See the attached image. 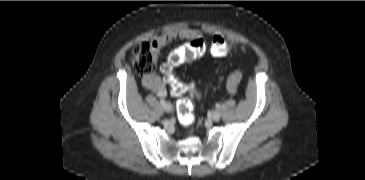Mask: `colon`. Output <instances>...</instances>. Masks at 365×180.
Masks as SVG:
<instances>
[{
	"label": "colon",
	"instance_id": "obj_1",
	"mask_svg": "<svg viewBox=\"0 0 365 180\" xmlns=\"http://www.w3.org/2000/svg\"><path fill=\"white\" fill-rule=\"evenodd\" d=\"M230 43L222 38L216 37L211 45V52L216 57H222L230 50ZM206 46L202 39L197 38L185 43L173 51L168 59V63L164 66V74L167 81L172 86L173 92L179 96L177 103V114L179 121L187 126L195 123V115L193 113V104L190 99L183 95L187 92L195 91L193 84H184L177 81L172 74V65L180 64L185 61L195 60L203 56ZM156 52L150 43H139L133 46L131 50V60L135 71L141 76H151L156 70ZM241 79L240 73H234L228 81V87L234 91Z\"/></svg>",
	"mask_w": 365,
	"mask_h": 180
}]
</instances>
